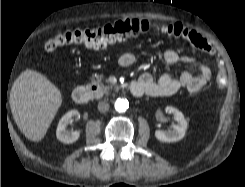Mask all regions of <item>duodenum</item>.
<instances>
[{
    "label": "duodenum",
    "mask_w": 245,
    "mask_h": 187,
    "mask_svg": "<svg viewBox=\"0 0 245 187\" xmlns=\"http://www.w3.org/2000/svg\"><path fill=\"white\" fill-rule=\"evenodd\" d=\"M127 89L135 97H141L144 94L143 86L135 81L129 82L127 84ZM100 93V90L96 86L85 87L78 86L74 89L72 97L75 103L77 104H86L93 99H95Z\"/></svg>",
    "instance_id": "obj_1"
}]
</instances>
